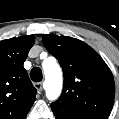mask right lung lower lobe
<instances>
[{
	"mask_svg": "<svg viewBox=\"0 0 119 119\" xmlns=\"http://www.w3.org/2000/svg\"><path fill=\"white\" fill-rule=\"evenodd\" d=\"M27 115V114H26ZM26 115H24L21 119H26Z\"/></svg>",
	"mask_w": 119,
	"mask_h": 119,
	"instance_id": "1",
	"label": "right lung lower lobe"
}]
</instances>
